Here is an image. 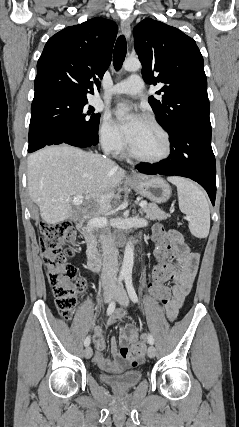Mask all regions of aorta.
Listing matches in <instances>:
<instances>
[{
    "instance_id": "762f6f07",
    "label": "aorta",
    "mask_w": 239,
    "mask_h": 427,
    "mask_svg": "<svg viewBox=\"0 0 239 427\" xmlns=\"http://www.w3.org/2000/svg\"><path fill=\"white\" fill-rule=\"evenodd\" d=\"M123 68L126 71H132V72L137 71L141 68V63L136 58H129V59H126L124 61ZM121 117L123 119H128L129 115H127L125 112H122ZM133 264H134L133 244L131 242H128L126 244L125 251H124V258H123L120 276L121 277H131Z\"/></svg>"
}]
</instances>
